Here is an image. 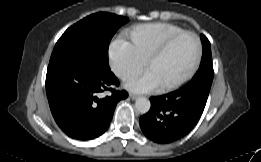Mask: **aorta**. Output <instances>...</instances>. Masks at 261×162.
Returning <instances> with one entry per match:
<instances>
[{"label":"aorta","instance_id":"obj_1","mask_svg":"<svg viewBox=\"0 0 261 162\" xmlns=\"http://www.w3.org/2000/svg\"><path fill=\"white\" fill-rule=\"evenodd\" d=\"M135 107L139 113L145 114L150 110L151 103L147 98L140 97L136 100Z\"/></svg>","mask_w":261,"mask_h":162}]
</instances>
